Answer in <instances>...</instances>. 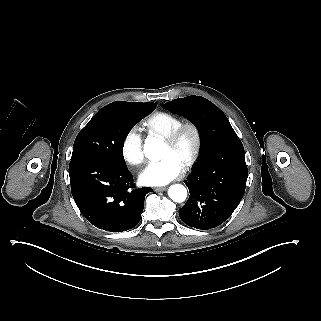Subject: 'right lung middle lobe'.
<instances>
[{"label": "right lung middle lobe", "mask_w": 321, "mask_h": 321, "mask_svg": "<svg viewBox=\"0 0 321 321\" xmlns=\"http://www.w3.org/2000/svg\"><path fill=\"white\" fill-rule=\"evenodd\" d=\"M157 103L130 108L129 103L113 102L103 107L77 135L72 158H97L126 166L123 157L124 141L133 128L150 114Z\"/></svg>", "instance_id": "obj_1"}]
</instances>
